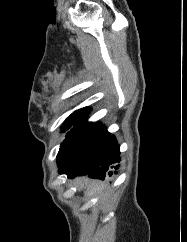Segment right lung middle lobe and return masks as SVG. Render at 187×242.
<instances>
[{"mask_svg": "<svg viewBox=\"0 0 187 242\" xmlns=\"http://www.w3.org/2000/svg\"><path fill=\"white\" fill-rule=\"evenodd\" d=\"M91 109L88 107L81 108L72 113L63 123L61 131L66 132L70 129L68 133L76 131L92 122L87 121V114ZM67 133V134H68Z\"/></svg>", "mask_w": 187, "mask_h": 242, "instance_id": "1", "label": "right lung middle lobe"}]
</instances>
